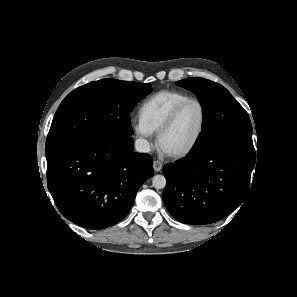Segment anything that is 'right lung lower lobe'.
<instances>
[{"mask_svg":"<svg viewBox=\"0 0 297 297\" xmlns=\"http://www.w3.org/2000/svg\"><path fill=\"white\" fill-rule=\"evenodd\" d=\"M133 138L95 139L47 158V185L60 212L89 229L121 221L153 175L152 157L133 152Z\"/></svg>","mask_w":297,"mask_h":297,"instance_id":"obj_1","label":"right lung lower lobe"}]
</instances>
